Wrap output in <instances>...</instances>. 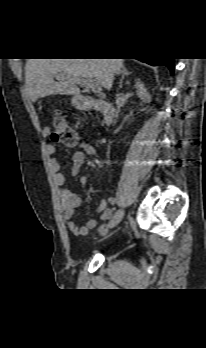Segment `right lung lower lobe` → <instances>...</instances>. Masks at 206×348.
<instances>
[{
	"label": "right lung lower lobe",
	"mask_w": 206,
	"mask_h": 348,
	"mask_svg": "<svg viewBox=\"0 0 206 348\" xmlns=\"http://www.w3.org/2000/svg\"><path fill=\"white\" fill-rule=\"evenodd\" d=\"M143 62H146L150 65H166L171 73L174 71V59L173 58H150V59H139Z\"/></svg>",
	"instance_id": "98d812e1"
}]
</instances>
